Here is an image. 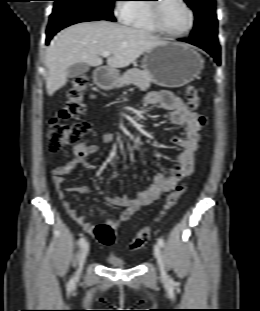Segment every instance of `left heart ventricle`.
I'll list each match as a JSON object with an SVG mask.
<instances>
[{
    "mask_svg": "<svg viewBox=\"0 0 260 311\" xmlns=\"http://www.w3.org/2000/svg\"><path fill=\"white\" fill-rule=\"evenodd\" d=\"M160 15L164 27L171 32H183L189 26V13L179 0H164Z\"/></svg>",
    "mask_w": 260,
    "mask_h": 311,
    "instance_id": "1",
    "label": "left heart ventricle"
}]
</instances>
